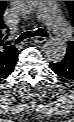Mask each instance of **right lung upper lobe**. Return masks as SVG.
<instances>
[{"mask_svg": "<svg viewBox=\"0 0 74 122\" xmlns=\"http://www.w3.org/2000/svg\"><path fill=\"white\" fill-rule=\"evenodd\" d=\"M6 7V1H0V77L6 75L17 62L18 50L10 46L7 39L6 25L2 21V14Z\"/></svg>", "mask_w": 74, "mask_h": 122, "instance_id": "obj_1", "label": "right lung upper lobe"}]
</instances>
